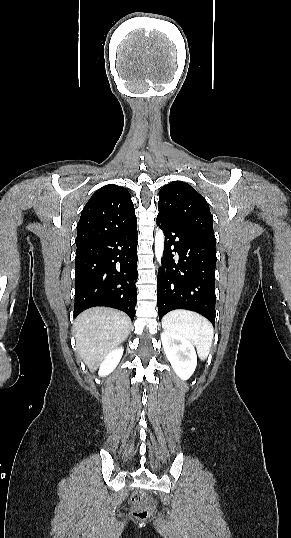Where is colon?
Wrapping results in <instances>:
<instances>
[{
    "mask_svg": "<svg viewBox=\"0 0 291 538\" xmlns=\"http://www.w3.org/2000/svg\"><path fill=\"white\" fill-rule=\"evenodd\" d=\"M131 508L130 512L133 516L138 519L145 520L151 517L152 509L146 506H143V503L146 500L145 495L140 491H135L132 493L131 497Z\"/></svg>",
    "mask_w": 291,
    "mask_h": 538,
    "instance_id": "obj_1",
    "label": "colon"
}]
</instances>
